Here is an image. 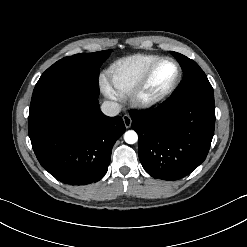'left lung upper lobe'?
Here are the masks:
<instances>
[{"instance_id":"5c2ea615","label":"left lung upper lobe","mask_w":247,"mask_h":247,"mask_svg":"<svg viewBox=\"0 0 247 247\" xmlns=\"http://www.w3.org/2000/svg\"><path fill=\"white\" fill-rule=\"evenodd\" d=\"M172 53L184 70V81L170 97V102L196 96H214L213 88L199 65L180 53Z\"/></svg>"}]
</instances>
